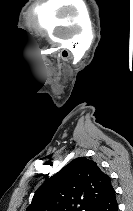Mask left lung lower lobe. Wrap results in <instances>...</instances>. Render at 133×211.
Wrapping results in <instances>:
<instances>
[{
    "instance_id": "1",
    "label": "left lung lower lobe",
    "mask_w": 133,
    "mask_h": 211,
    "mask_svg": "<svg viewBox=\"0 0 133 211\" xmlns=\"http://www.w3.org/2000/svg\"><path fill=\"white\" fill-rule=\"evenodd\" d=\"M92 211H118L115 190L112 189Z\"/></svg>"
}]
</instances>
